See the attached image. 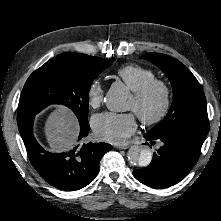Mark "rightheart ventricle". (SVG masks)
<instances>
[{
  "label": "right heart ventricle",
  "mask_w": 221,
  "mask_h": 221,
  "mask_svg": "<svg viewBox=\"0 0 221 221\" xmlns=\"http://www.w3.org/2000/svg\"><path fill=\"white\" fill-rule=\"evenodd\" d=\"M116 74L132 91L155 79V74L152 70L135 64L120 67Z\"/></svg>",
  "instance_id": "obj_1"
}]
</instances>
